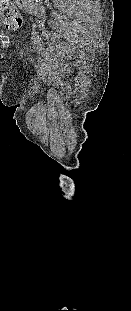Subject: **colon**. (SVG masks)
<instances>
[{
  "label": "colon",
  "mask_w": 131,
  "mask_h": 311,
  "mask_svg": "<svg viewBox=\"0 0 131 311\" xmlns=\"http://www.w3.org/2000/svg\"><path fill=\"white\" fill-rule=\"evenodd\" d=\"M10 0H0V10L3 11L5 9L11 8L9 11V15L7 17L6 26L10 30H15L20 25L19 15L12 8V5L9 4Z\"/></svg>",
  "instance_id": "1"
}]
</instances>
